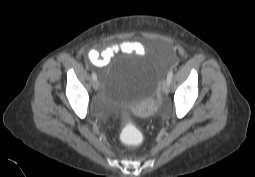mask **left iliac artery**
<instances>
[{"label":"left iliac artery","instance_id":"1","mask_svg":"<svg viewBox=\"0 0 255 177\" xmlns=\"http://www.w3.org/2000/svg\"><path fill=\"white\" fill-rule=\"evenodd\" d=\"M173 77V70H170L167 74V82L170 84Z\"/></svg>","mask_w":255,"mask_h":177}]
</instances>
